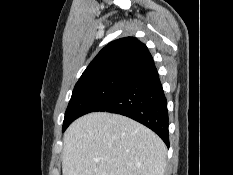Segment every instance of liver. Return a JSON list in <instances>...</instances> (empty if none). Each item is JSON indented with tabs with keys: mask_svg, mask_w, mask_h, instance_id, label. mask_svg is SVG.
Listing matches in <instances>:
<instances>
[{
	"mask_svg": "<svg viewBox=\"0 0 233 175\" xmlns=\"http://www.w3.org/2000/svg\"><path fill=\"white\" fill-rule=\"evenodd\" d=\"M167 148L144 125L119 114L93 112L63 137V175H164Z\"/></svg>",
	"mask_w": 233,
	"mask_h": 175,
	"instance_id": "6515ba94",
	"label": "liver"
}]
</instances>
